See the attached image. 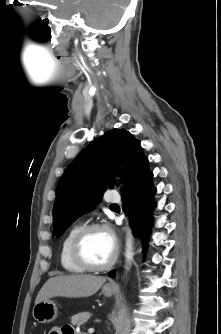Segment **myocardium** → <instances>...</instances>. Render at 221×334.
I'll return each instance as SVG.
<instances>
[{
	"mask_svg": "<svg viewBox=\"0 0 221 334\" xmlns=\"http://www.w3.org/2000/svg\"><path fill=\"white\" fill-rule=\"evenodd\" d=\"M95 230H104L108 232L112 236L114 243H115V251H114L113 256L107 263L101 264V265L91 263L85 257L83 250H82V245H83L85 238L87 237L89 233ZM71 255H72L73 260L85 270L105 271V270L110 269L115 264L118 258V255H119V245H118L117 239L115 238V235L112 229L108 225L103 224V223H91V224L82 226L79 229V231L76 233L72 241V244H71Z\"/></svg>",
	"mask_w": 221,
	"mask_h": 334,
	"instance_id": "obj_1",
	"label": "myocardium"
}]
</instances>
